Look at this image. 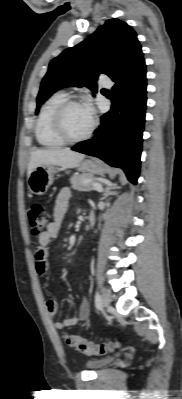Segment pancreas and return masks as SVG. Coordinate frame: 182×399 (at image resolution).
Listing matches in <instances>:
<instances>
[{"mask_svg":"<svg viewBox=\"0 0 182 399\" xmlns=\"http://www.w3.org/2000/svg\"><path fill=\"white\" fill-rule=\"evenodd\" d=\"M93 178L90 174L74 175L70 178L72 188L78 191H90L92 182H87Z\"/></svg>","mask_w":182,"mask_h":399,"instance_id":"pancreas-1","label":"pancreas"}]
</instances>
